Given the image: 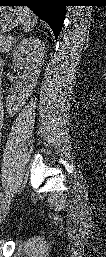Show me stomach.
<instances>
[{"label": "stomach", "mask_w": 106, "mask_h": 257, "mask_svg": "<svg viewBox=\"0 0 106 257\" xmlns=\"http://www.w3.org/2000/svg\"><path fill=\"white\" fill-rule=\"evenodd\" d=\"M0 32L7 33L16 27L20 21L19 9L13 7L0 8Z\"/></svg>", "instance_id": "0dacf381"}]
</instances>
